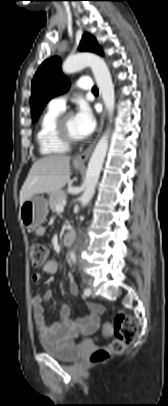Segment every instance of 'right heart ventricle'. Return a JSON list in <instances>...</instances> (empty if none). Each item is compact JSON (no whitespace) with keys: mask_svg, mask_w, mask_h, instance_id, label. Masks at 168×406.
<instances>
[{"mask_svg":"<svg viewBox=\"0 0 168 406\" xmlns=\"http://www.w3.org/2000/svg\"><path fill=\"white\" fill-rule=\"evenodd\" d=\"M62 112L49 106L40 119L36 140L43 155L60 154L69 149V145L60 141L55 132L56 121Z\"/></svg>","mask_w":168,"mask_h":406,"instance_id":"obj_1","label":"right heart ventricle"}]
</instances>
